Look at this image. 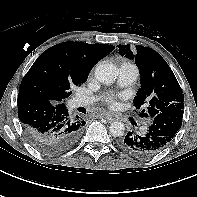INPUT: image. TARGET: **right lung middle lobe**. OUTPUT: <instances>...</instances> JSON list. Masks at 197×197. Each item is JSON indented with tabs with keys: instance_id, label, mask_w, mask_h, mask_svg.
Returning a JSON list of instances; mask_svg holds the SVG:
<instances>
[{
	"instance_id": "dd1d6c3e",
	"label": "right lung middle lobe",
	"mask_w": 197,
	"mask_h": 197,
	"mask_svg": "<svg viewBox=\"0 0 197 197\" xmlns=\"http://www.w3.org/2000/svg\"><path fill=\"white\" fill-rule=\"evenodd\" d=\"M34 86L37 93L48 100H56L57 103H61L71 94V92L62 94L56 84L43 79H38Z\"/></svg>"
}]
</instances>
